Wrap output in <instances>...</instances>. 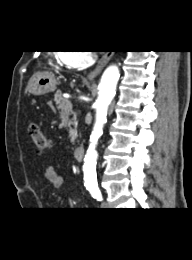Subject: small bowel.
<instances>
[{
    "label": "small bowel",
    "instance_id": "small-bowel-1",
    "mask_svg": "<svg viewBox=\"0 0 192 260\" xmlns=\"http://www.w3.org/2000/svg\"><path fill=\"white\" fill-rule=\"evenodd\" d=\"M44 179L53 188H60L63 183V179H62L61 175L53 166H49L45 170ZM47 204H49V203H47Z\"/></svg>",
    "mask_w": 192,
    "mask_h": 260
}]
</instances>
